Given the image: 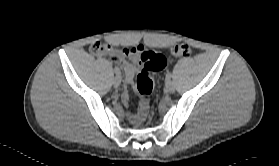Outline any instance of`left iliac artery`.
<instances>
[{"mask_svg":"<svg viewBox=\"0 0 279 166\" xmlns=\"http://www.w3.org/2000/svg\"><path fill=\"white\" fill-rule=\"evenodd\" d=\"M171 77H172V74H171V73H167V74H166V79H167V80H170Z\"/></svg>","mask_w":279,"mask_h":166,"instance_id":"left-iliac-artery-1","label":"left iliac artery"}]
</instances>
